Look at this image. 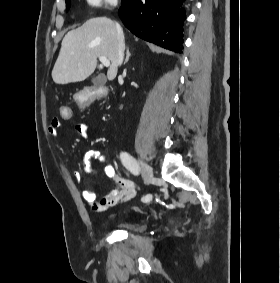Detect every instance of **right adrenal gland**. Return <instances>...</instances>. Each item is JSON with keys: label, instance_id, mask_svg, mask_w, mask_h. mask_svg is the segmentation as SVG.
Segmentation results:
<instances>
[{"label": "right adrenal gland", "instance_id": "obj_1", "mask_svg": "<svg viewBox=\"0 0 280 283\" xmlns=\"http://www.w3.org/2000/svg\"><path fill=\"white\" fill-rule=\"evenodd\" d=\"M130 56H131V53H130V51H129V48L127 47L126 58H125L124 64H126V63L128 62Z\"/></svg>", "mask_w": 280, "mask_h": 283}]
</instances>
